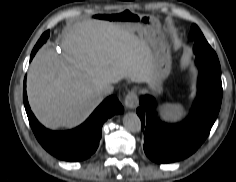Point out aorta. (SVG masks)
Returning a JSON list of instances; mask_svg holds the SVG:
<instances>
[{
  "mask_svg": "<svg viewBox=\"0 0 236 182\" xmlns=\"http://www.w3.org/2000/svg\"><path fill=\"white\" fill-rule=\"evenodd\" d=\"M123 125L130 132L137 133L141 131V120L136 113H126L123 117Z\"/></svg>",
  "mask_w": 236,
  "mask_h": 182,
  "instance_id": "obj_1",
  "label": "aorta"
}]
</instances>
